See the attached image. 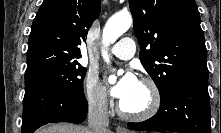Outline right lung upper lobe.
<instances>
[{
  "instance_id": "1",
  "label": "right lung upper lobe",
  "mask_w": 221,
  "mask_h": 133,
  "mask_svg": "<svg viewBox=\"0 0 221 133\" xmlns=\"http://www.w3.org/2000/svg\"><path fill=\"white\" fill-rule=\"evenodd\" d=\"M99 13L100 0H44L32 23L25 75L77 62L78 46Z\"/></svg>"
}]
</instances>
